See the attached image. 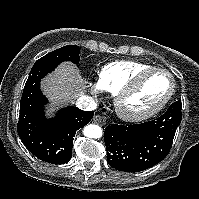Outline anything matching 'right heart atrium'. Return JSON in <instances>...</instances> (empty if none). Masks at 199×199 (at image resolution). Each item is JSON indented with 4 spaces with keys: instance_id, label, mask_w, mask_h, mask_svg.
<instances>
[{
    "instance_id": "obj_1",
    "label": "right heart atrium",
    "mask_w": 199,
    "mask_h": 199,
    "mask_svg": "<svg viewBox=\"0 0 199 199\" xmlns=\"http://www.w3.org/2000/svg\"><path fill=\"white\" fill-rule=\"evenodd\" d=\"M90 89H91V92L96 96L100 95L103 91V89L101 88L98 82L91 83Z\"/></svg>"
}]
</instances>
